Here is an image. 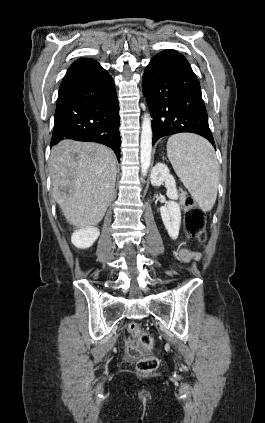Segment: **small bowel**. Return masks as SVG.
Here are the masks:
<instances>
[{
	"label": "small bowel",
	"instance_id": "small-bowel-1",
	"mask_svg": "<svg viewBox=\"0 0 265 423\" xmlns=\"http://www.w3.org/2000/svg\"><path fill=\"white\" fill-rule=\"evenodd\" d=\"M176 258L181 262H189L191 260H200L201 254L198 252H193L185 248H179L176 251ZM125 348L127 351V357L130 358L132 353L136 351L133 342L130 339H127L125 342Z\"/></svg>",
	"mask_w": 265,
	"mask_h": 423
}]
</instances>
